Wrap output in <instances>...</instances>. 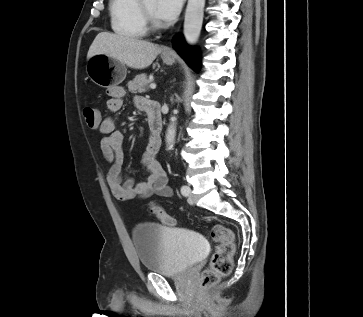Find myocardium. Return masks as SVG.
Instances as JSON below:
<instances>
[{"label": "myocardium", "instance_id": "obj_1", "mask_svg": "<svg viewBox=\"0 0 363 317\" xmlns=\"http://www.w3.org/2000/svg\"><path fill=\"white\" fill-rule=\"evenodd\" d=\"M138 9L148 29L155 31L162 28V24L145 7L144 0H139Z\"/></svg>", "mask_w": 363, "mask_h": 317}]
</instances>
